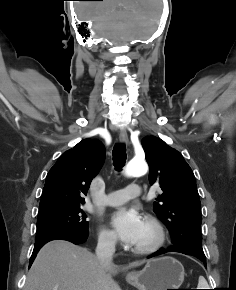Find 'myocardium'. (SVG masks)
I'll return each instance as SVG.
<instances>
[{"label":"myocardium","mask_w":236,"mask_h":290,"mask_svg":"<svg viewBox=\"0 0 236 290\" xmlns=\"http://www.w3.org/2000/svg\"><path fill=\"white\" fill-rule=\"evenodd\" d=\"M144 225L151 231L152 238L146 244L132 247V251L137 254L154 253L161 248L165 241V230L158 219L147 215L144 220Z\"/></svg>","instance_id":"myocardium-1"}]
</instances>
